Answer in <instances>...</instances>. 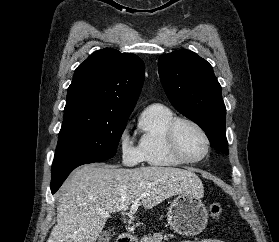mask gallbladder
<instances>
[{
  "label": "gallbladder",
  "instance_id": "bac80fb5",
  "mask_svg": "<svg viewBox=\"0 0 279 242\" xmlns=\"http://www.w3.org/2000/svg\"><path fill=\"white\" fill-rule=\"evenodd\" d=\"M99 242H109V240L111 239V232L109 231H105L103 233H101L98 237Z\"/></svg>",
  "mask_w": 279,
  "mask_h": 242
}]
</instances>
